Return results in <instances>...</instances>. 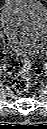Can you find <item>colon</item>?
<instances>
[{"label": "colon", "instance_id": "1", "mask_svg": "<svg viewBox=\"0 0 47 129\" xmlns=\"http://www.w3.org/2000/svg\"><path fill=\"white\" fill-rule=\"evenodd\" d=\"M12 85L19 92L29 89L31 85V61L28 58L23 59L22 67L13 78Z\"/></svg>", "mask_w": 47, "mask_h": 129}]
</instances>
